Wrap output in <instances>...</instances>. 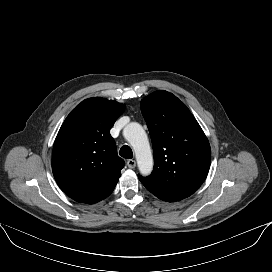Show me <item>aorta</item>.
<instances>
[{
    "mask_svg": "<svg viewBox=\"0 0 272 272\" xmlns=\"http://www.w3.org/2000/svg\"><path fill=\"white\" fill-rule=\"evenodd\" d=\"M124 137L134 149L139 171L149 175L153 169V156L145 130L139 123L132 122L124 128Z\"/></svg>",
    "mask_w": 272,
    "mask_h": 272,
    "instance_id": "1",
    "label": "aorta"
}]
</instances>
